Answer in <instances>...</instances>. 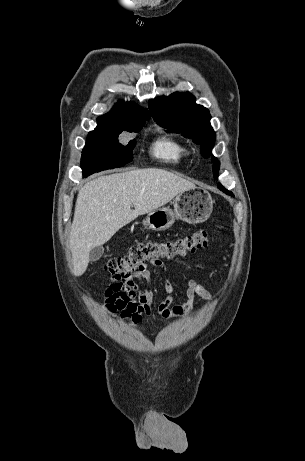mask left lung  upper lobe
Returning <instances> with one entry per match:
<instances>
[{"mask_svg":"<svg viewBox=\"0 0 305 461\" xmlns=\"http://www.w3.org/2000/svg\"><path fill=\"white\" fill-rule=\"evenodd\" d=\"M195 97L190 93L175 92L168 97H158L149 101V110L154 120L169 131L182 133L201 146V153L208 158L212 152L215 132L210 125L211 116L208 109L195 103ZM213 176L218 178L219 161L212 156ZM218 188L232 195L222 185Z\"/></svg>","mask_w":305,"mask_h":461,"instance_id":"1","label":"left lung upper lobe"}]
</instances>
